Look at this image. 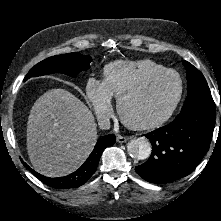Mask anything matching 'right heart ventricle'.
I'll use <instances>...</instances> for the list:
<instances>
[{
    "label": "right heart ventricle",
    "instance_id": "obj_1",
    "mask_svg": "<svg viewBox=\"0 0 221 221\" xmlns=\"http://www.w3.org/2000/svg\"><path fill=\"white\" fill-rule=\"evenodd\" d=\"M163 69V65L148 59L116 61L104 67L103 83L112 97L119 98L148 75Z\"/></svg>",
    "mask_w": 221,
    "mask_h": 221
}]
</instances>
